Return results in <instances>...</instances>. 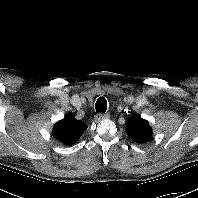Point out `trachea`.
I'll return each instance as SVG.
<instances>
[{
    "mask_svg": "<svg viewBox=\"0 0 198 198\" xmlns=\"http://www.w3.org/2000/svg\"><path fill=\"white\" fill-rule=\"evenodd\" d=\"M96 112L105 113L107 110V100L104 97H99L95 104Z\"/></svg>",
    "mask_w": 198,
    "mask_h": 198,
    "instance_id": "trachea-1",
    "label": "trachea"
}]
</instances>
